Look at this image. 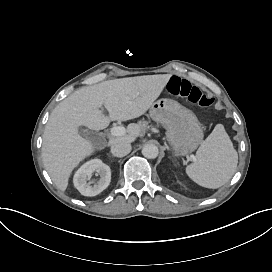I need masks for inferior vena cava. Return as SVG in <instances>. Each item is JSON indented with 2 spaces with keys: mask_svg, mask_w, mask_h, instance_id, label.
Instances as JSON below:
<instances>
[{
  "mask_svg": "<svg viewBox=\"0 0 272 272\" xmlns=\"http://www.w3.org/2000/svg\"><path fill=\"white\" fill-rule=\"evenodd\" d=\"M131 151L130 143L126 141H117L111 146V153L116 157H123Z\"/></svg>",
  "mask_w": 272,
  "mask_h": 272,
  "instance_id": "602c4592",
  "label": "inferior vena cava"
}]
</instances>
